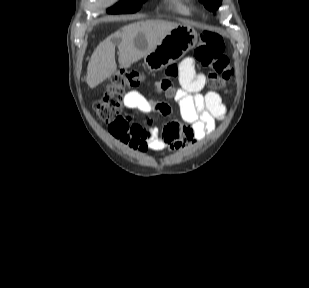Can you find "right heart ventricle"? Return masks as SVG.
Listing matches in <instances>:
<instances>
[{
	"instance_id": "e07e8e85",
	"label": "right heart ventricle",
	"mask_w": 309,
	"mask_h": 288,
	"mask_svg": "<svg viewBox=\"0 0 309 288\" xmlns=\"http://www.w3.org/2000/svg\"><path fill=\"white\" fill-rule=\"evenodd\" d=\"M168 1L169 5L180 14L189 15L191 13V9L185 4H183L180 0H168Z\"/></svg>"
}]
</instances>
